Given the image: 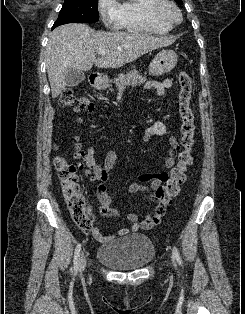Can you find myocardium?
Wrapping results in <instances>:
<instances>
[{"label": "myocardium", "mask_w": 245, "mask_h": 314, "mask_svg": "<svg viewBox=\"0 0 245 314\" xmlns=\"http://www.w3.org/2000/svg\"><path fill=\"white\" fill-rule=\"evenodd\" d=\"M171 12L175 13L177 18H174ZM151 13L155 19L171 26L179 24L182 21L181 10L172 0H159V2L152 7Z\"/></svg>", "instance_id": "obj_1"}]
</instances>
